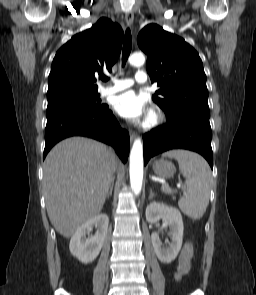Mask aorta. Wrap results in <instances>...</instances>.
<instances>
[{"label": "aorta", "instance_id": "762f6f07", "mask_svg": "<svg viewBox=\"0 0 256 295\" xmlns=\"http://www.w3.org/2000/svg\"><path fill=\"white\" fill-rule=\"evenodd\" d=\"M133 66H142L145 57L142 53H134L129 59ZM130 185L135 195L140 194L143 182V144L141 139H136L130 152Z\"/></svg>", "mask_w": 256, "mask_h": 295}]
</instances>
